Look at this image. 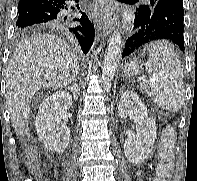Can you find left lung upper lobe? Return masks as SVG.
I'll return each mask as SVG.
<instances>
[{"label": "left lung upper lobe", "instance_id": "obj_1", "mask_svg": "<svg viewBox=\"0 0 197 181\" xmlns=\"http://www.w3.org/2000/svg\"><path fill=\"white\" fill-rule=\"evenodd\" d=\"M160 0H150L149 5H141L136 9L135 19H144L147 18L156 5V3Z\"/></svg>", "mask_w": 197, "mask_h": 181}]
</instances>
